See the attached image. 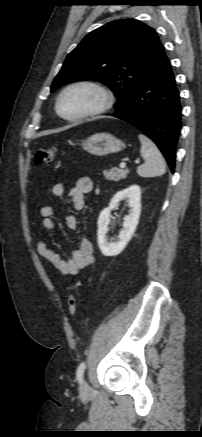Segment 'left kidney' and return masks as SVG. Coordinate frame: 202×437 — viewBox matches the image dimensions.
Returning a JSON list of instances; mask_svg holds the SVG:
<instances>
[{"mask_svg":"<svg viewBox=\"0 0 202 437\" xmlns=\"http://www.w3.org/2000/svg\"><path fill=\"white\" fill-rule=\"evenodd\" d=\"M122 200L129 202V215L124 217L123 230L120 231L118 238L114 242H109L106 234L109 231V224L111 222V210ZM140 200V187L138 185H132L117 192L110 201L109 206L100 213L98 218L97 239L99 248L104 256H116L120 254L132 238L140 217Z\"/></svg>","mask_w":202,"mask_h":437,"instance_id":"1","label":"left kidney"}]
</instances>
